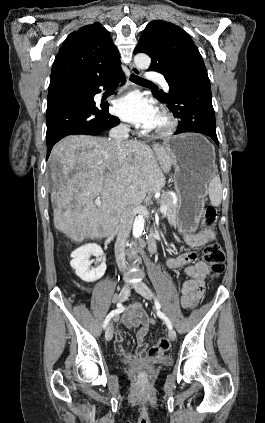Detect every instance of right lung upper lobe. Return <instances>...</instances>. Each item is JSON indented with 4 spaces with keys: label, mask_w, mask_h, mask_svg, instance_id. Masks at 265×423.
<instances>
[{
    "label": "right lung upper lobe",
    "mask_w": 265,
    "mask_h": 423,
    "mask_svg": "<svg viewBox=\"0 0 265 423\" xmlns=\"http://www.w3.org/2000/svg\"><path fill=\"white\" fill-rule=\"evenodd\" d=\"M120 65L109 32L98 22L83 26L66 38L56 55L49 91L109 79L122 71Z\"/></svg>",
    "instance_id": "1"
}]
</instances>
